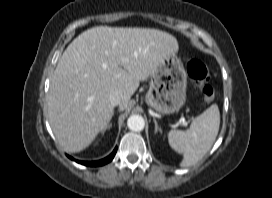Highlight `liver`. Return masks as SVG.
I'll return each instance as SVG.
<instances>
[{"label": "liver", "mask_w": 272, "mask_h": 198, "mask_svg": "<svg viewBox=\"0 0 272 198\" xmlns=\"http://www.w3.org/2000/svg\"><path fill=\"white\" fill-rule=\"evenodd\" d=\"M177 39L151 28L97 26L76 37L59 59L47 96L49 123L66 152L87 148L105 130L113 92L127 108L141 81L178 51Z\"/></svg>", "instance_id": "1"}]
</instances>
